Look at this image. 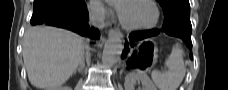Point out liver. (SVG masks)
<instances>
[{"mask_svg":"<svg viewBox=\"0 0 228 90\" xmlns=\"http://www.w3.org/2000/svg\"><path fill=\"white\" fill-rule=\"evenodd\" d=\"M84 38L52 27L29 28L23 41V60L30 83L44 90L58 88L76 70Z\"/></svg>","mask_w":228,"mask_h":90,"instance_id":"6515ba94","label":"liver"}]
</instances>
